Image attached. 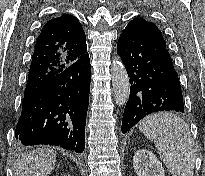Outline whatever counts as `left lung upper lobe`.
I'll list each match as a JSON object with an SVG mask.
<instances>
[{
  "instance_id": "1",
  "label": "left lung upper lobe",
  "mask_w": 205,
  "mask_h": 176,
  "mask_svg": "<svg viewBox=\"0 0 205 176\" xmlns=\"http://www.w3.org/2000/svg\"><path fill=\"white\" fill-rule=\"evenodd\" d=\"M127 26L134 28L144 37L166 46L161 31L154 23L148 22L143 18H135Z\"/></svg>"
}]
</instances>
